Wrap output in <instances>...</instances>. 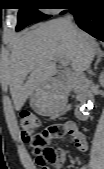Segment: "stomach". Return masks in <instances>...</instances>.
I'll list each match as a JSON object with an SVG mask.
<instances>
[{"instance_id":"obj_1","label":"stomach","mask_w":104,"mask_h":169,"mask_svg":"<svg viewBox=\"0 0 104 169\" xmlns=\"http://www.w3.org/2000/svg\"><path fill=\"white\" fill-rule=\"evenodd\" d=\"M30 105L41 115H53L62 109L64 99L51 82H46L31 95Z\"/></svg>"}]
</instances>
